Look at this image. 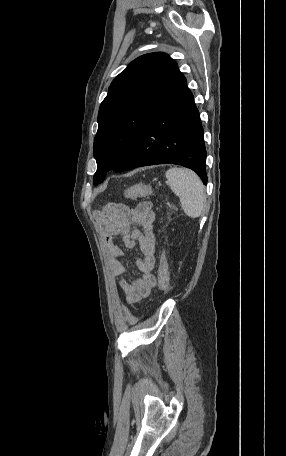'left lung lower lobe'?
<instances>
[{"label":"left lung lower lobe","instance_id":"obj_1","mask_svg":"<svg viewBox=\"0 0 286 456\" xmlns=\"http://www.w3.org/2000/svg\"><path fill=\"white\" fill-rule=\"evenodd\" d=\"M199 111L187 81L139 134L117 172L178 164L194 170L207 184L206 149Z\"/></svg>","mask_w":286,"mask_h":456}]
</instances>
